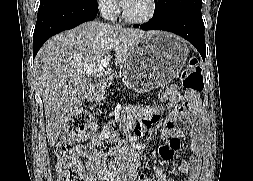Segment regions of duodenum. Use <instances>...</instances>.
Wrapping results in <instances>:
<instances>
[{
    "mask_svg": "<svg viewBox=\"0 0 253 181\" xmlns=\"http://www.w3.org/2000/svg\"><path fill=\"white\" fill-rule=\"evenodd\" d=\"M104 95V89L102 86H97L93 91H92V98L93 100H97L101 98Z\"/></svg>",
    "mask_w": 253,
    "mask_h": 181,
    "instance_id": "410a0bca",
    "label": "duodenum"
}]
</instances>
